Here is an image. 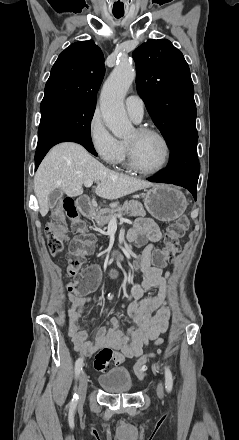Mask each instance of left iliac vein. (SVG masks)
I'll return each instance as SVG.
<instances>
[{
	"label": "left iliac vein",
	"mask_w": 239,
	"mask_h": 440,
	"mask_svg": "<svg viewBox=\"0 0 239 440\" xmlns=\"http://www.w3.org/2000/svg\"><path fill=\"white\" fill-rule=\"evenodd\" d=\"M157 394H158V396L160 397V398H162L163 397V385H162V383L160 382L159 384H158V387H157Z\"/></svg>",
	"instance_id": "left-iliac-vein-1"
}]
</instances>
